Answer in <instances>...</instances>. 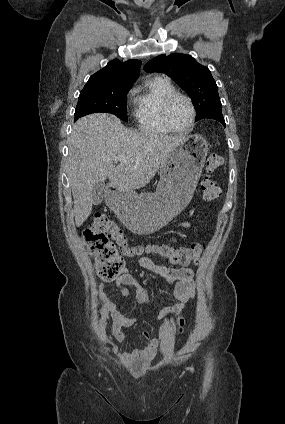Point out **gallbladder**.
I'll return each instance as SVG.
<instances>
[{
  "mask_svg": "<svg viewBox=\"0 0 285 424\" xmlns=\"http://www.w3.org/2000/svg\"><path fill=\"white\" fill-rule=\"evenodd\" d=\"M106 185L104 182H98L93 186L92 195H93V204L99 205L103 201L105 195Z\"/></svg>",
  "mask_w": 285,
  "mask_h": 424,
  "instance_id": "bac80fb5",
  "label": "gallbladder"
}]
</instances>
